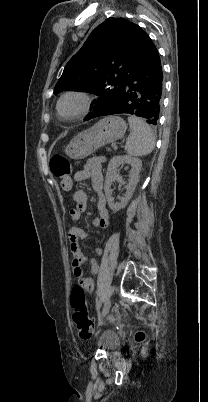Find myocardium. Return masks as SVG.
<instances>
[{
  "label": "myocardium",
  "instance_id": "obj_1",
  "mask_svg": "<svg viewBox=\"0 0 208 402\" xmlns=\"http://www.w3.org/2000/svg\"><path fill=\"white\" fill-rule=\"evenodd\" d=\"M69 97H79L83 100V107L81 108L80 111L77 113L70 115V116H65L61 112V104L63 103L64 100H66ZM93 105V98L86 92L83 91H78V90H69L64 92L57 100L56 102V115L57 117L62 120V121H72L76 120L79 118L84 117L87 115Z\"/></svg>",
  "mask_w": 208,
  "mask_h": 402
}]
</instances>
